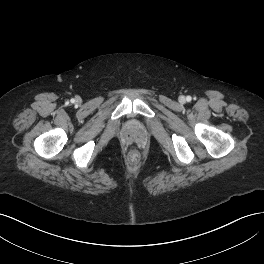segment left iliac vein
I'll return each mask as SVG.
<instances>
[{
	"label": "left iliac vein",
	"mask_w": 264,
	"mask_h": 264,
	"mask_svg": "<svg viewBox=\"0 0 264 264\" xmlns=\"http://www.w3.org/2000/svg\"><path fill=\"white\" fill-rule=\"evenodd\" d=\"M180 102H181V103H184V102H185V97H184V96H181V97H180Z\"/></svg>",
	"instance_id": "4c4485c4"
}]
</instances>
